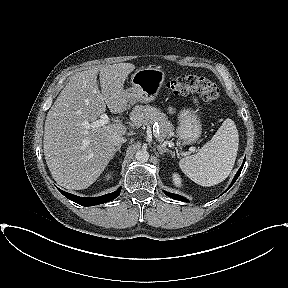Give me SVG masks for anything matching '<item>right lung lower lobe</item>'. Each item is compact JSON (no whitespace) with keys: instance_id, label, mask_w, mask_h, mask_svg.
Wrapping results in <instances>:
<instances>
[{"instance_id":"98d812e1","label":"right lung lower lobe","mask_w":288,"mask_h":288,"mask_svg":"<svg viewBox=\"0 0 288 288\" xmlns=\"http://www.w3.org/2000/svg\"><path fill=\"white\" fill-rule=\"evenodd\" d=\"M59 191L69 200L74 201L82 206H94V205L106 203L108 201H111L117 198L120 194V189H118L117 191L113 193H109L103 196L94 197V198H84V197H79V196L64 192L60 189Z\"/></svg>"}]
</instances>
